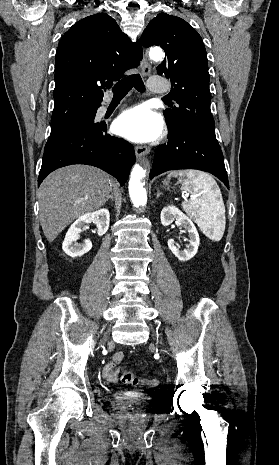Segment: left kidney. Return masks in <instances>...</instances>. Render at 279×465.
<instances>
[{"label":"left kidney","instance_id":"obj_1","mask_svg":"<svg viewBox=\"0 0 279 465\" xmlns=\"http://www.w3.org/2000/svg\"><path fill=\"white\" fill-rule=\"evenodd\" d=\"M177 225L182 226L187 232L189 237V244L185 250H179L176 247L173 239L168 240V247L171 252L182 262L188 261L195 256L199 247V234L192 220L181 212L175 206L164 207L161 211V223L163 226H168L173 222Z\"/></svg>","mask_w":279,"mask_h":465}]
</instances>
